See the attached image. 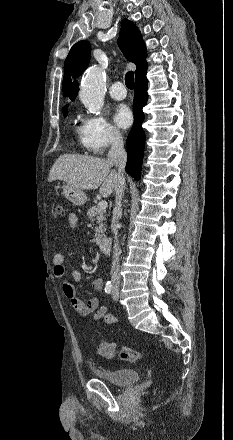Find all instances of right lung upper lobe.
<instances>
[{
	"instance_id": "obj_1",
	"label": "right lung upper lobe",
	"mask_w": 233,
	"mask_h": 440,
	"mask_svg": "<svg viewBox=\"0 0 233 440\" xmlns=\"http://www.w3.org/2000/svg\"><path fill=\"white\" fill-rule=\"evenodd\" d=\"M118 44L127 60L136 64V78L144 75L147 70L146 47L142 35L133 22L124 19L121 23V31ZM91 46L88 41H79L70 50L64 63L63 96L75 100L78 92L77 78L89 64ZM66 105L63 110L67 109Z\"/></svg>"
}]
</instances>
